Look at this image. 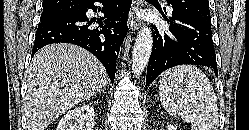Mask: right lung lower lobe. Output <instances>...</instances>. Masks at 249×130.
I'll use <instances>...</instances> for the list:
<instances>
[{"instance_id":"obj_1","label":"right lung lower lobe","mask_w":249,"mask_h":130,"mask_svg":"<svg viewBox=\"0 0 249 130\" xmlns=\"http://www.w3.org/2000/svg\"><path fill=\"white\" fill-rule=\"evenodd\" d=\"M96 0L87 2L71 15L41 21L36 31L32 56L42 47L52 43H72L94 54L104 65L110 80L114 82L116 60L121 43L127 33V15L132 0H104V17L89 20L86 12L94 6ZM96 22L100 28H92Z\"/></svg>"}]
</instances>
